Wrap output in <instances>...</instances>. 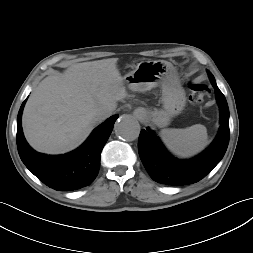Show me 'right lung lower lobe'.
<instances>
[{"label":"right lung lower lobe","instance_id":"1","mask_svg":"<svg viewBox=\"0 0 253 253\" xmlns=\"http://www.w3.org/2000/svg\"><path fill=\"white\" fill-rule=\"evenodd\" d=\"M27 100V99H26ZM26 100L17 117V148L21 160L44 184L59 191H71L92 183L100 169V155L118 115L99 125L76 150L64 155H45L34 151L26 142L21 116Z\"/></svg>","mask_w":253,"mask_h":253}]
</instances>
